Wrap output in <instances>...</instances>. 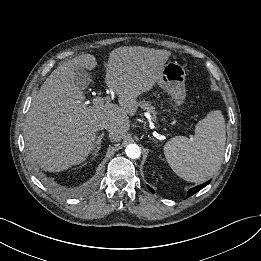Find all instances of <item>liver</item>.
Instances as JSON below:
<instances>
[{"label":"liver","instance_id":"liver-1","mask_svg":"<svg viewBox=\"0 0 261 261\" xmlns=\"http://www.w3.org/2000/svg\"><path fill=\"white\" fill-rule=\"evenodd\" d=\"M170 51L141 46L119 47L109 54L105 83L119 97L118 105H87L76 84L79 68L93 70L91 54H83L55 69L33 98L24 127L30 156L49 172H60L86 160L96 133L109 126V138L121 141L130 128L128 115L137 111L136 98L158 82Z\"/></svg>","mask_w":261,"mask_h":261}]
</instances>
